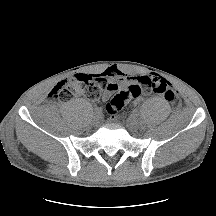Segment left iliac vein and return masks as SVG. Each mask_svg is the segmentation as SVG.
<instances>
[{"instance_id":"left-iliac-vein-1","label":"left iliac vein","mask_w":216,"mask_h":216,"mask_svg":"<svg viewBox=\"0 0 216 216\" xmlns=\"http://www.w3.org/2000/svg\"><path fill=\"white\" fill-rule=\"evenodd\" d=\"M126 125L130 131L137 130V128L139 127V121L136 115L133 114L132 116H130L126 121Z\"/></svg>"}]
</instances>
